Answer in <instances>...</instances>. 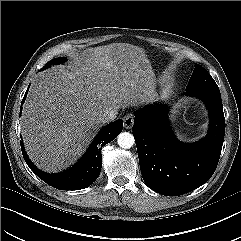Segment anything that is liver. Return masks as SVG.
I'll return each mask as SVG.
<instances>
[{
    "mask_svg": "<svg viewBox=\"0 0 241 241\" xmlns=\"http://www.w3.org/2000/svg\"><path fill=\"white\" fill-rule=\"evenodd\" d=\"M156 77L143 48L112 43L83 52L71 68L40 72L21 116L26 151L38 168L58 172L85 151L107 111L152 103Z\"/></svg>",
    "mask_w": 241,
    "mask_h": 241,
    "instance_id": "obj_1",
    "label": "liver"
}]
</instances>
